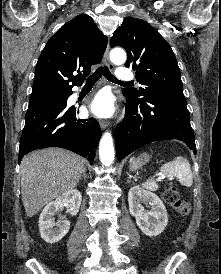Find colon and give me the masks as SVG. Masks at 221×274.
<instances>
[{"mask_svg": "<svg viewBox=\"0 0 221 274\" xmlns=\"http://www.w3.org/2000/svg\"><path fill=\"white\" fill-rule=\"evenodd\" d=\"M164 201L171 205L180 216H187L191 206L187 199L182 198L176 187H168L163 192Z\"/></svg>", "mask_w": 221, "mask_h": 274, "instance_id": "1", "label": "colon"}]
</instances>
